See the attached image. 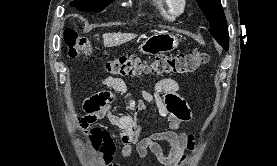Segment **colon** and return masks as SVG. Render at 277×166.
Wrapping results in <instances>:
<instances>
[{"instance_id": "1", "label": "colon", "mask_w": 277, "mask_h": 166, "mask_svg": "<svg viewBox=\"0 0 277 166\" xmlns=\"http://www.w3.org/2000/svg\"><path fill=\"white\" fill-rule=\"evenodd\" d=\"M64 41L70 57L81 54L91 55V43L86 38H78L74 31L64 33ZM208 61V54L200 50L181 54H160L151 59H142L136 55L120 56L107 61L104 69L111 75L139 76L142 74H188L195 72ZM82 117L79 119L81 125ZM84 130V128L81 126Z\"/></svg>"}]
</instances>
